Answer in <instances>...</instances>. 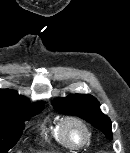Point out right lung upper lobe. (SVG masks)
Masks as SVG:
<instances>
[{"mask_svg": "<svg viewBox=\"0 0 130 153\" xmlns=\"http://www.w3.org/2000/svg\"><path fill=\"white\" fill-rule=\"evenodd\" d=\"M28 99L10 89H0V112H19L29 107Z\"/></svg>", "mask_w": 130, "mask_h": 153, "instance_id": "cb5924a9", "label": "right lung upper lobe"}]
</instances>
